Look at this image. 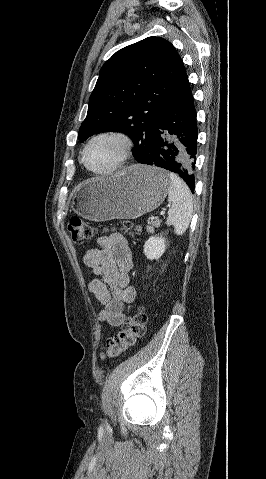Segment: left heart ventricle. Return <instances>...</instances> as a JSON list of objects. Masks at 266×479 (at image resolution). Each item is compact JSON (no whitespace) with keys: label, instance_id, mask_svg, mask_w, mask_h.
<instances>
[{"label":"left heart ventricle","instance_id":"obj_1","mask_svg":"<svg viewBox=\"0 0 266 479\" xmlns=\"http://www.w3.org/2000/svg\"><path fill=\"white\" fill-rule=\"evenodd\" d=\"M120 150V143L115 139L105 138L98 140L88 150V164L96 170L109 169L116 163Z\"/></svg>","mask_w":266,"mask_h":479}]
</instances>
